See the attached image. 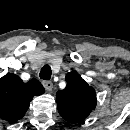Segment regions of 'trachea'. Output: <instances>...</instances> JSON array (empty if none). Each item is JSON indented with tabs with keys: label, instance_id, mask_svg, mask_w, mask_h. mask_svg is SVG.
Listing matches in <instances>:
<instances>
[{
	"label": "trachea",
	"instance_id": "1",
	"mask_svg": "<svg viewBox=\"0 0 130 130\" xmlns=\"http://www.w3.org/2000/svg\"><path fill=\"white\" fill-rule=\"evenodd\" d=\"M39 76L41 79L49 80L51 78V67L49 65H44L41 68Z\"/></svg>",
	"mask_w": 130,
	"mask_h": 130
}]
</instances>
